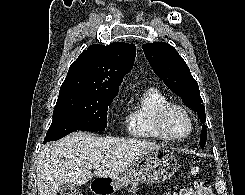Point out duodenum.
<instances>
[{
  "instance_id": "1",
  "label": "duodenum",
  "mask_w": 245,
  "mask_h": 195,
  "mask_svg": "<svg viewBox=\"0 0 245 195\" xmlns=\"http://www.w3.org/2000/svg\"><path fill=\"white\" fill-rule=\"evenodd\" d=\"M91 189L95 195H111L113 191L110 181L107 180L93 181Z\"/></svg>"
}]
</instances>
